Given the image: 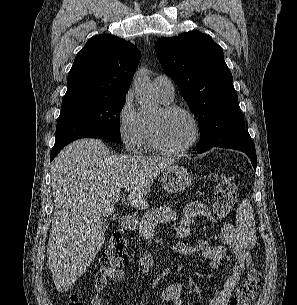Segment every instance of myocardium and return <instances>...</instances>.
<instances>
[{
  "label": "myocardium",
  "instance_id": "myocardium-1",
  "mask_svg": "<svg viewBox=\"0 0 297 305\" xmlns=\"http://www.w3.org/2000/svg\"><path fill=\"white\" fill-rule=\"evenodd\" d=\"M174 113H182L186 115L192 122L194 133L192 139L184 146L178 148L167 147L161 137L159 132V122L155 117L151 118L150 124V140L153 148L158 152L165 155H179L189 151L195 144L198 142L201 134L200 123L197 116L188 108H185L180 105L168 104L160 109V115L166 116Z\"/></svg>",
  "mask_w": 297,
  "mask_h": 305
}]
</instances>
